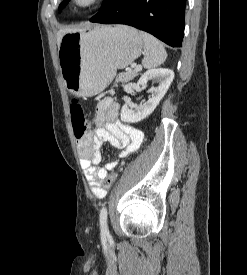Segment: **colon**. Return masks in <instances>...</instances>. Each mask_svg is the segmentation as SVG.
<instances>
[{
	"label": "colon",
	"instance_id": "5ec220e1",
	"mask_svg": "<svg viewBox=\"0 0 247 275\" xmlns=\"http://www.w3.org/2000/svg\"><path fill=\"white\" fill-rule=\"evenodd\" d=\"M70 115L74 136L81 139L87 131V120L82 106L76 100L70 106ZM116 178L117 172H112L103 184L104 189H110Z\"/></svg>",
	"mask_w": 247,
	"mask_h": 275
}]
</instances>
